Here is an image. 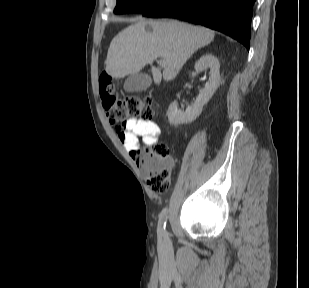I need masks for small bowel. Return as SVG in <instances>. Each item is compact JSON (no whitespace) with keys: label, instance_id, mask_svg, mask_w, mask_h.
<instances>
[{"label":"small bowel","instance_id":"small-bowel-1","mask_svg":"<svg viewBox=\"0 0 309 288\" xmlns=\"http://www.w3.org/2000/svg\"><path fill=\"white\" fill-rule=\"evenodd\" d=\"M160 134V126L153 121L129 119L123 124V129L119 131V138L124 148L133 155L140 143L147 146L155 144Z\"/></svg>","mask_w":309,"mask_h":288}]
</instances>
